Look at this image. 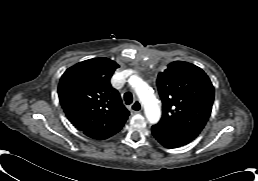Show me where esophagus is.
<instances>
[{
  "label": "esophagus",
  "instance_id": "34e87169",
  "mask_svg": "<svg viewBox=\"0 0 258 181\" xmlns=\"http://www.w3.org/2000/svg\"><path fill=\"white\" fill-rule=\"evenodd\" d=\"M131 111L134 113H139L142 111V104L139 100L134 101L131 105Z\"/></svg>",
  "mask_w": 258,
  "mask_h": 181
}]
</instances>
